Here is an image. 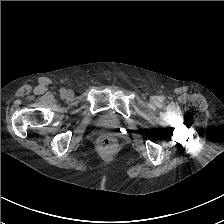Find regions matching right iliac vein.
I'll use <instances>...</instances> for the list:
<instances>
[{
	"label": "right iliac vein",
	"instance_id": "obj_1",
	"mask_svg": "<svg viewBox=\"0 0 224 224\" xmlns=\"http://www.w3.org/2000/svg\"><path fill=\"white\" fill-rule=\"evenodd\" d=\"M66 96H67L68 98H72V97L74 96L73 91H72V90H68V91L66 92Z\"/></svg>",
	"mask_w": 224,
	"mask_h": 224
}]
</instances>
